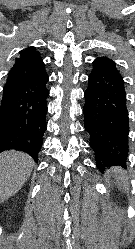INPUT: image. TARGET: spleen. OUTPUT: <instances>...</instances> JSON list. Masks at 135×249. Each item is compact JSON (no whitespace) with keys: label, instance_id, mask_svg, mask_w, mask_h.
<instances>
[{"label":"spleen","instance_id":"spleen-1","mask_svg":"<svg viewBox=\"0 0 135 249\" xmlns=\"http://www.w3.org/2000/svg\"><path fill=\"white\" fill-rule=\"evenodd\" d=\"M114 178L116 180V184L119 189L128 190L129 188L128 176L126 175V172L122 168L114 169Z\"/></svg>","mask_w":135,"mask_h":249}]
</instances>
